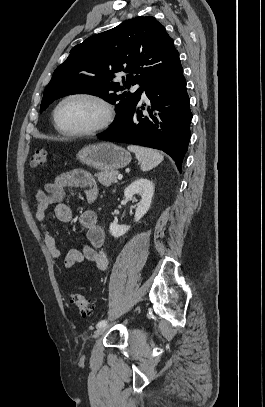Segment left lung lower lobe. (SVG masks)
<instances>
[{
    "instance_id": "obj_1",
    "label": "left lung lower lobe",
    "mask_w": 265,
    "mask_h": 407,
    "mask_svg": "<svg viewBox=\"0 0 265 407\" xmlns=\"http://www.w3.org/2000/svg\"><path fill=\"white\" fill-rule=\"evenodd\" d=\"M145 91L152 109L163 112L159 114L161 122L150 109V117L145 116V107L137 105L123 122L99 134L98 138L162 150L182 171V161L191 137L192 113L181 63L166 76L150 82Z\"/></svg>"
}]
</instances>
